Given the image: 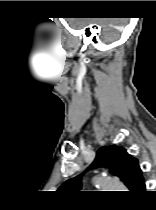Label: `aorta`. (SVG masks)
<instances>
[{
  "label": "aorta",
  "mask_w": 156,
  "mask_h": 210,
  "mask_svg": "<svg viewBox=\"0 0 156 210\" xmlns=\"http://www.w3.org/2000/svg\"><path fill=\"white\" fill-rule=\"evenodd\" d=\"M94 184L104 191H120V189H124V186L119 181L106 175L97 176L94 179Z\"/></svg>",
  "instance_id": "aorta-1"
}]
</instances>
